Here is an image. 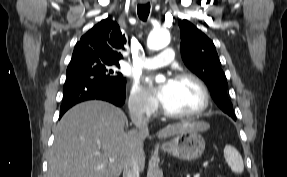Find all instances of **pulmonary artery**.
Returning a JSON list of instances; mask_svg holds the SVG:
<instances>
[{"label": "pulmonary artery", "instance_id": "e3ab8cb5", "mask_svg": "<svg viewBox=\"0 0 287 177\" xmlns=\"http://www.w3.org/2000/svg\"><path fill=\"white\" fill-rule=\"evenodd\" d=\"M174 59V49L167 47L160 54L152 57H147L143 63L146 69H154L168 65Z\"/></svg>", "mask_w": 287, "mask_h": 177}]
</instances>
